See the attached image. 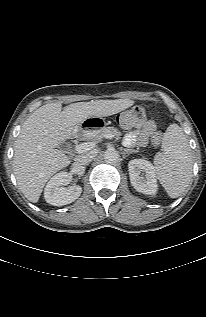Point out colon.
<instances>
[{
  "label": "colon",
  "mask_w": 206,
  "mask_h": 317,
  "mask_svg": "<svg viewBox=\"0 0 206 317\" xmlns=\"http://www.w3.org/2000/svg\"><path fill=\"white\" fill-rule=\"evenodd\" d=\"M117 123L125 129L143 126L146 123V111L142 106H133L117 116ZM163 132L157 131L153 135V143L158 144Z\"/></svg>",
  "instance_id": "5ec220e1"
}]
</instances>
